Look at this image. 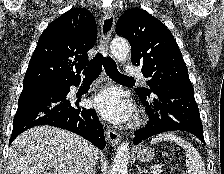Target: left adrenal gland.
Here are the masks:
<instances>
[{
  "label": "left adrenal gland",
  "instance_id": "1",
  "mask_svg": "<svg viewBox=\"0 0 224 174\" xmlns=\"http://www.w3.org/2000/svg\"><path fill=\"white\" fill-rule=\"evenodd\" d=\"M138 174L147 173L146 169H142L139 165L137 166Z\"/></svg>",
  "mask_w": 224,
  "mask_h": 174
}]
</instances>
